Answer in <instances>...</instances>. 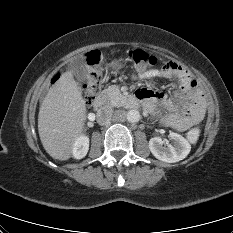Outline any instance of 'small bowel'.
<instances>
[{"label":"small bowel","mask_w":233,"mask_h":233,"mask_svg":"<svg viewBox=\"0 0 233 233\" xmlns=\"http://www.w3.org/2000/svg\"><path fill=\"white\" fill-rule=\"evenodd\" d=\"M138 76L178 79L179 86L171 97L147 88L136 92V96L144 102L147 109L160 116L164 125L185 131L202 119L206 109L202 91L197 81L184 67L169 61L158 70H139Z\"/></svg>","instance_id":"small-bowel-1"}]
</instances>
